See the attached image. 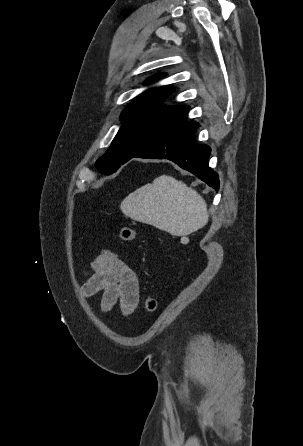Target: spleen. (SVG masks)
<instances>
[{
    "mask_svg": "<svg viewBox=\"0 0 303 446\" xmlns=\"http://www.w3.org/2000/svg\"><path fill=\"white\" fill-rule=\"evenodd\" d=\"M120 209L135 221L153 225L174 236H186L209 219L207 204L200 194L182 181L161 175L130 193Z\"/></svg>",
    "mask_w": 303,
    "mask_h": 446,
    "instance_id": "obj_1",
    "label": "spleen"
}]
</instances>
